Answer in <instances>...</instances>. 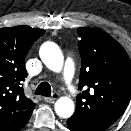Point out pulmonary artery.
<instances>
[{
  "label": "pulmonary artery",
  "mask_w": 131,
  "mask_h": 131,
  "mask_svg": "<svg viewBox=\"0 0 131 131\" xmlns=\"http://www.w3.org/2000/svg\"><path fill=\"white\" fill-rule=\"evenodd\" d=\"M74 70L72 64L68 61L65 65L63 72V80L66 85H71L73 83Z\"/></svg>",
  "instance_id": "pulmonary-artery-1"
}]
</instances>
